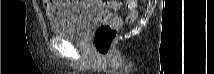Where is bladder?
Wrapping results in <instances>:
<instances>
[{
  "instance_id": "bladder-1",
  "label": "bladder",
  "mask_w": 214,
  "mask_h": 74,
  "mask_svg": "<svg viewBox=\"0 0 214 74\" xmlns=\"http://www.w3.org/2000/svg\"><path fill=\"white\" fill-rule=\"evenodd\" d=\"M72 5L57 13L52 20L53 34L73 41L84 40L88 30L101 18L104 11L92 1H74Z\"/></svg>"
}]
</instances>
